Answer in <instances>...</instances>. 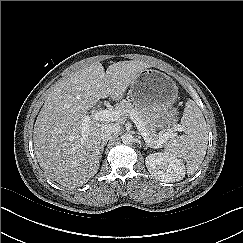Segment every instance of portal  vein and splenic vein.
Returning <instances> with one entry per match:
<instances>
[{"instance_id": "portal-vein-and-splenic-vein-1", "label": "portal vein and splenic vein", "mask_w": 243, "mask_h": 243, "mask_svg": "<svg viewBox=\"0 0 243 243\" xmlns=\"http://www.w3.org/2000/svg\"><path fill=\"white\" fill-rule=\"evenodd\" d=\"M130 119L136 124L138 130L141 132V135L143 136L144 140L146 143H148L150 146L154 147H160L162 144L171 138L173 136L172 133H165L161 136L159 141H154L149 138L148 133L146 132L144 128V124L142 123L141 119L137 116L135 111H131L128 115ZM124 118V114L120 109H112V110H99L95 111L91 117L86 115L83 119V127H82V132L83 134L87 132L88 130V121L91 119L97 120V121H117V120H122ZM85 137V135H83Z\"/></svg>"}]
</instances>
